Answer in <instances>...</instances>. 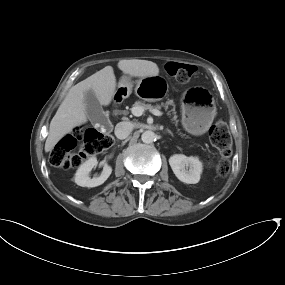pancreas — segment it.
Wrapping results in <instances>:
<instances>
[{
  "mask_svg": "<svg viewBox=\"0 0 285 285\" xmlns=\"http://www.w3.org/2000/svg\"><path fill=\"white\" fill-rule=\"evenodd\" d=\"M169 105H172L173 107H175L173 100H168L166 101V103H161V105H156L153 106L151 104H145L144 102H135L134 106H139L142 107L144 110H152V109H160L161 106L165 107L166 109L168 108ZM171 112L174 114L173 120L177 123V116L175 115V108H173L171 110Z\"/></svg>",
  "mask_w": 285,
  "mask_h": 285,
  "instance_id": "1",
  "label": "pancreas"
}]
</instances>
